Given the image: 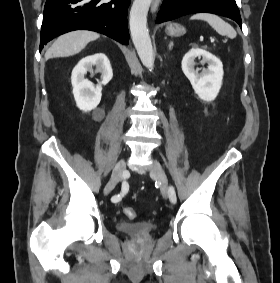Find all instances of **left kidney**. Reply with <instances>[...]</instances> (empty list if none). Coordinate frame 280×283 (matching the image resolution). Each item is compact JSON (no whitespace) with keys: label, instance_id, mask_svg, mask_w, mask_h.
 I'll return each mask as SVG.
<instances>
[{"label":"left kidney","instance_id":"5707ae66","mask_svg":"<svg viewBox=\"0 0 280 283\" xmlns=\"http://www.w3.org/2000/svg\"><path fill=\"white\" fill-rule=\"evenodd\" d=\"M197 57H202V63H208V68L201 73L195 70ZM182 71L200 99L209 102L217 97L224 74L222 62L217 57L204 49L192 48L183 57Z\"/></svg>","mask_w":280,"mask_h":283}]
</instances>
